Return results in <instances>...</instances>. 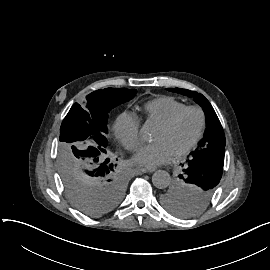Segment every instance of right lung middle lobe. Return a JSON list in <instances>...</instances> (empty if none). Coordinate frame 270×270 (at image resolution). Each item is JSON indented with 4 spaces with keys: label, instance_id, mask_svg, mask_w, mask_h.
<instances>
[{
    "label": "right lung middle lobe",
    "instance_id": "dd1d6c3e",
    "mask_svg": "<svg viewBox=\"0 0 270 270\" xmlns=\"http://www.w3.org/2000/svg\"><path fill=\"white\" fill-rule=\"evenodd\" d=\"M136 89L106 88L74 103L60 127L57 168L70 204L88 216H100L123 198L124 170L110 159L108 112L136 95Z\"/></svg>",
    "mask_w": 270,
    "mask_h": 270
}]
</instances>
